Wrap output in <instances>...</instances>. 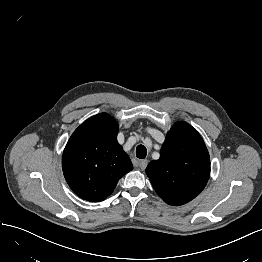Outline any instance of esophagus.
<instances>
[{
    "instance_id": "34e87169",
    "label": "esophagus",
    "mask_w": 262,
    "mask_h": 262,
    "mask_svg": "<svg viewBox=\"0 0 262 262\" xmlns=\"http://www.w3.org/2000/svg\"><path fill=\"white\" fill-rule=\"evenodd\" d=\"M148 161L147 160H138L137 166L141 169L144 170L147 167Z\"/></svg>"
}]
</instances>
